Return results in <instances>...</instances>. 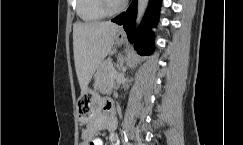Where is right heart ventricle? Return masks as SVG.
<instances>
[{
	"instance_id": "e07e8e85",
	"label": "right heart ventricle",
	"mask_w": 243,
	"mask_h": 145,
	"mask_svg": "<svg viewBox=\"0 0 243 145\" xmlns=\"http://www.w3.org/2000/svg\"><path fill=\"white\" fill-rule=\"evenodd\" d=\"M76 12L86 23L98 22L107 16L101 9L99 0H76Z\"/></svg>"
}]
</instances>
